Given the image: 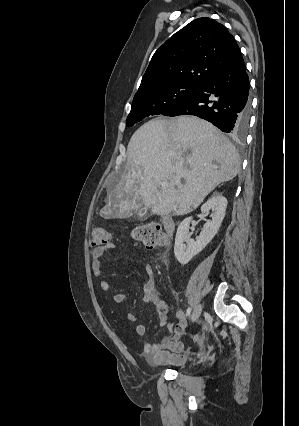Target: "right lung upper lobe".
<instances>
[{
	"mask_svg": "<svg viewBox=\"0 0 299 426\" xmlns=\"http://www.w3.org/2000/svg\"><path fill=\"white\" fill-rule=\"evenodd\" d=\"M240 55L225 26L206 17L196 19L155 52L134 99L178 83L201 86Z\"/></svg>",
	"mask_w": 299,
	"mask_h": 426,
	"instance_id": "cb5924a9",
	"label": "right lung upper lobe"
}]
</instances>
